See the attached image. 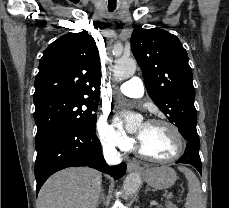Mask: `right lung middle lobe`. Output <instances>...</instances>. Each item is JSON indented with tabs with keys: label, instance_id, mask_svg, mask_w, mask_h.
Returning <instances> with one entry per match:
<instances>
[{
	"label": "right lung middle lobe",
	"instance_id": "obj_1",
	"mask_svg": "<svg viewBox=\"0 0 229 208\" xmlns=\"http://www.w3.org/2000/svg\"><path fill=\"white\" fill-rule=\"evenodd\" d=\"M97 101V100H96ZM38 140L61 126L96 130L97 102L73 95H50L34 101Z\"/></svg>",
	"mask_w": 229,
	"mask_h": 208
}]
</instances>
